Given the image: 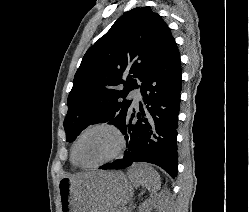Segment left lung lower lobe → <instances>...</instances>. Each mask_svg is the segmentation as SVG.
I'll return each mask as SVG.
<instances>
[{
	"label": "left lung lower lobe",
	"instance_id": "1",
	"mask_svg": "<svg viewBox=\"0 0 249 212\" xmlns=\"http://www.w3.org/2000/svg\"><path fill=\"white\" fill-rule=\"evenodd\" d=\"M140 89L144 106L140 103L138 113L131 109L119 128L128 141L124 157L99 169H121L133 162H148L175 178L181 62L174 40L149 70Z\"/></svg>",
	"mask_w": 249,
	"mask_h": 212
}]
</instances>
